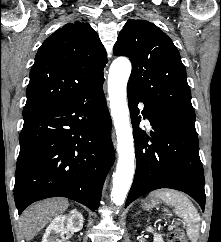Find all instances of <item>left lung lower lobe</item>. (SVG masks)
I'll use <instances>...</instances> for the list:
<instances>
[{
    "mask_svg": "<svg viewBox=\"0 0 221 242\" xmlns=\"http://www.w3.org/2000/svg\"><path fill=\"white\" fill-rule=\"evenodd\" d=\"M136 152V172L125 207L140 196L160 188L183 191L205 207L204 173L199 157L195 121L157 110L127 89ZM143 102L144 118L152 131L139 128L137 104Z\"/></svg>",
    "mask_w": 221,
    "mask_h": 242,
    "instance_id": "1",
    "label": "left lung lower lobe"
}]
</instances>
